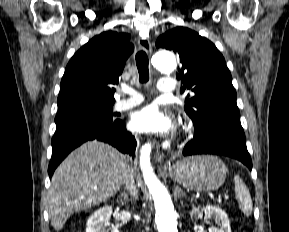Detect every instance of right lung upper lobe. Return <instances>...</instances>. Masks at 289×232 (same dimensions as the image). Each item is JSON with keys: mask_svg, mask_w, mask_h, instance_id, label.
Listing matches in <instances>:
<instances>
[{"mask_svg": "<svg viewBox=\"0 0 289 232\" xmlns=\"http://www.w3.org/2000/svg\"><path fill=\"white\" fill-rule=\"evenodd\" d=\"M128 34L103 32L69 61L60 85L58 109L80 105H113V85L118 84L125 62L133 52Z\"/></svg>", "mask_w": 289, "mask_h": 232, "instance_id": "right-lung-upper-lobe-1", "label": "right lung upper lobe"}]
</instances>
